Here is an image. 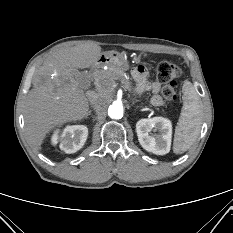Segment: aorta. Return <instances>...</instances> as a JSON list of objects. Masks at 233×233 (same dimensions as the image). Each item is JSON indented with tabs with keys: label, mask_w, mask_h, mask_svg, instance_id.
<instances>
[{
	"label": "aorta",
	"mask_w": 233,
	"mask_h": 233,
	"mask_svg": "<svg viewBox=\"0 0 233 233\" xmlns=\"http://www.w3.org/2000/svg\"><path fill=\"white\" fill-rule=\"evenodd\" d=\"M108 108V116L112 119H120L123 117V105L120 102L113 101L109 102L107 105Z\"/></svg>",
	"instance_id": "1"
}]
</instances>
